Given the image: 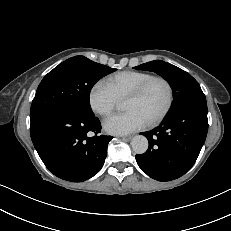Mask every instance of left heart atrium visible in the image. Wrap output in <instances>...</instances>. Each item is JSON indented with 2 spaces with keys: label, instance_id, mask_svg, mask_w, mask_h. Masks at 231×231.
<instances>
[{
  "label": "left heart atrium",
  "instance_id": "1",
  "mask_svg": "<svg viewBox=\"0 0 231 231\" xmlns=\"http://www.w3.org/2000/svg\"><path fill=\"white\" fill-rule=\"evenodd\" d=\"M148 121L137 111L115 114L104 121V129L113 135H125L144 128Z\"/></svg>",
  "mask_w": 231,
  "mask_h": 231
}]
</instances>
